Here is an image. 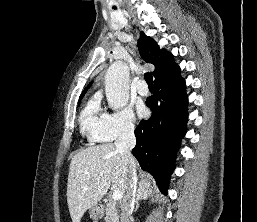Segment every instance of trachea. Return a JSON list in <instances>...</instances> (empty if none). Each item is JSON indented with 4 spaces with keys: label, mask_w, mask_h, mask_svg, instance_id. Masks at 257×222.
<instances>
[{
    "label": "trachea",
    "mask_w": 257,
    "mask_h": 222,
    "mask_svg": "<svg viewBox=\"0 0 257 222\" xmlns=\"http://www.w3.org/2000/svg\"><path fill=\"white\" fill-rule=\"evenodd\" d=\"M145 81L147 82L149 87H153V77L151 73L144 74Z\"/></svg>",
    "instance_id": "3493384b"
}]
</instances>
